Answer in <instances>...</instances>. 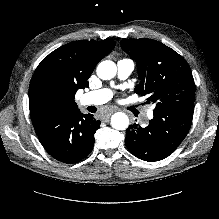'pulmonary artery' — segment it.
<instances>
[{
  "label": "pulmonary artery",
  "instance_id": "obj_1",
  "mask_svg": "<svg viewBox=\"0 0 219 219\" xmlns=\"http://www.w3.org/2000/svg\"><path fill=\"white\" fill-rule=\"evenodd\" d=\"M134 70V62L130 59H122L117 63V74L120 79H126ZM112 97V92L108 89H100L86 92L81 97V105H101L109 101ZM152 115V110L146 112V117Z\"/></svg>",
  "mask_w": 219,
  "mask_h": 219
}]
</instances>
